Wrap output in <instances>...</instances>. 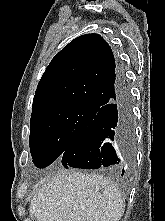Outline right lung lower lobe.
I'll list each match as a JSON object with an SVG mask.
<instances>
[{
	"mask_svg": "<svg viewBox=\"0 0 165 221\" xmlns=\"http://www.w3.org/2000/svg\"><path fill=\"white\" fill-rule=\"evenodd\" d=\"M134 146L131 97L122 73L109 102L96 112L92 122L61 155L62 165L83 169L107 167L127 170Z\"/></svg>",
	"mask_w": 165,
	"mask_h": 221,
	"instance_id": "98d812e1",
	"label": "right lung lower lobe"
}]
</instances>
